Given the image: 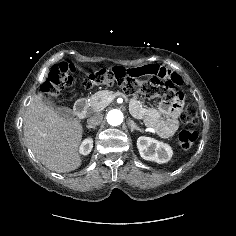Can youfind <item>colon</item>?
I'll list each match as a JSON object with an SVG mask.
<instances>
[{
  "label": "colon",
  "mask_w": 236,
  "mask_h": 236,
  "mask_svg": "<svg viewBox=\"0 0 236 236\" xmlns=\"http://www.w3.org/2000/svg\"><path fill=\"white\" fill-rule=\"evenodd\" d=\"M119 68L122 67L115 66L112 68L97 69L83 80L82 85L85 89H90L94 86L117 83L128 94L141 93L148 98L164 99L170 102V104H175L182 100V96L173 81H162L157 77H153L146 82H140L137 79L119 81L114 76L115 71ZM74 73L75 69L69 63L62 62L54 65L41 87L45 98L50 99L57 96L64 89H72L74 87ZM181 119L186 124L197 123V107L188 105L183 111ZM197 138L198 135L195 130L184 128L179 134V144L183 150H189Z\"/></svg>",
  "instance_id": "1"
}]
</instances>
